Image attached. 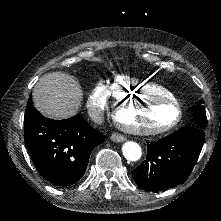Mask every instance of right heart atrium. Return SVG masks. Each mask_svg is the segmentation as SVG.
<instances>
[{
  "instance_id": "obj_1",
  "label": "right heart atrium",
  "mask_w": 221,
  "mask_h": 221,
  "mask_svg": "<svg viewBox=\"0 0 221 221\" xmlns=\"http://www.w3.org/2000/svg\"><path fill=\"white\" fill-rule=\"evenodd\" d=\"M109 80L103 81L95 91L94 104L97 107H105L113 98L111 97V89L109 88Z\"/></svg>"
}]
</instances>
